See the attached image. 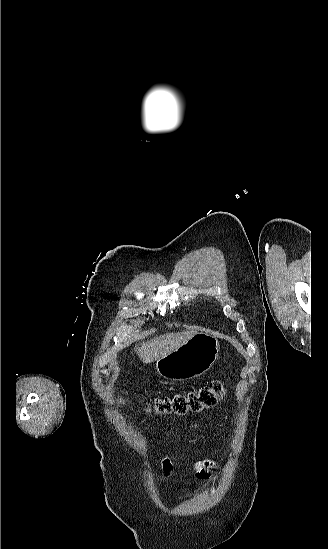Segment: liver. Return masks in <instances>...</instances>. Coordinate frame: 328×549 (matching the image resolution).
Listing matches in <instances>:
<instances>
[{"label":"liver","instance_id":"liver-1","mask_svg":"<svg viewBox=\"0 0 328 549\" xmlns=\"http://www.w3.org/2000/svg\"><path fill=\"white\" fill-rule=\"evenodd\" d=\"M197 331H184V333H167L162 337H155L147 343H140V347H136V353L142 363H154L161 357H166L172 351L179 349L186 341H189Z\"/></svg>","mask_w":328,"mask_h":549}]
</instances>
